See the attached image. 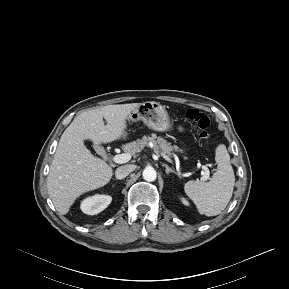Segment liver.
Returning a JSON list of instances; mask_svg holds the SVG:
<instances>
[{
	"label": "liver",
	"mask_w": 289,
	"mask_h": 289,
	"mask_svg": "<svg viewBox=\"0 0 289 289\" xmlns=\"http://www.w3.org/2000/svg\"><path fill=\"white\" fill-rule=\"evenodd\" d=\"M140 104L108 105L85 111L63 132L47 177L49 197L60 214L66 215L80 195L105 186L113 175L112 167L94 156L84 140L102 144L126 139V121Z\"/></svg>",
	"instance_id": "liver-1"
}]
</instances>
